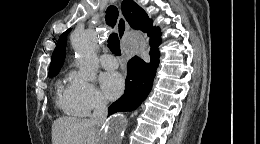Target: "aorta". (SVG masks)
Listing matches in <instances>:
<instances>
[{
  "instance_id": "obj_1",
  "label": "aorta",
  "mask_w": 260,
  "mask_h": 144,
  "mask_svg": "<svg viewBox=\"0 0 260 144\" xmlns=\"http://www.w3.org/2000/svg\"><path fill=\"white\" fill-rule=\"evenodd\" d=\"M102 35L95 30L75 32L72 37L73 48L77 54L79 73L86 80H93L98 70L96 50ZM125 126L123 117H116L110 125L109 137H120Z\"/></svg>"
}]
</instances>
